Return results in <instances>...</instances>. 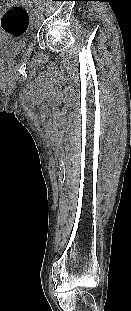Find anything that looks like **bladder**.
I'll return each instance as SVG.
<instances>
[{"instance_id":"bladder-1","label":"bladder","mask_w":131,"mask_h":311,"mask_svg":"<svg viewBox=\"0 0 131 311\" xmlns=\"http://www.w3.org/2000/svg\"><path fill=\"white\" fill-rule=\"evenodd\" d=\"M26 47L25 41L0 38V60L13 59L20 55Z\"/></svg>"}]
</instances>
